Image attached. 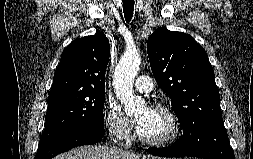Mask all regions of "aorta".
Returning <instances> with one entry per match:
<instances>
[{
  "label": "aorta",
  "instance_id": "aorta-1",
  "mask_svg": "<svg viewBox=\"0 0 253 159\" xmlns=\"http://www.w3.org/2000/svg\"><path fill=\"white\" fill-rule=\"evenodd\" d=\"M141 64L136 51H126L119 60L113 76V85L117 97L124 105L126 114H133L144 105L141 97L133 93V82Z\"/></svg>",
  "mask_w": 253,
  "mask_h": 159
}]
</instances>
